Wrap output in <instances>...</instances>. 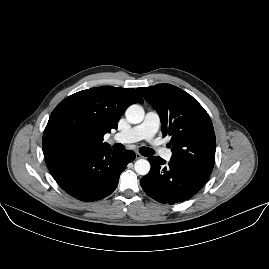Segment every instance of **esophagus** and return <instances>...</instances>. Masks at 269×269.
Here are the masks:
<instances>
[{"mask_svg": "<svg viewBox=\"0 0 269 269\" xmlns=\"http://www.w3.org/2000/svg\"><path fill=\"white\" fill-rule=\"evenodd\" d=\"M143 156L139 153H136V159L142 158Z\"/></svg>", "mask_w": 269, "mask_h": 269, "instance_id": "34e87169", "label": "esophagus"}]
</instances>
